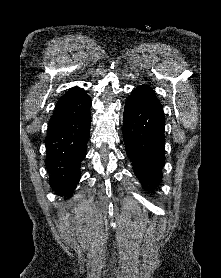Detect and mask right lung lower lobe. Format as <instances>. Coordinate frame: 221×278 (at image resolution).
<instances>
[{"label": "right lung lower lobe", "mask_w": 221, "mask_h": 278, "mask_svg": "<svg viewBox=\"0 0 221 278\" xmlns=\"http://www.w3.org/2000/svg\"><path fill=\"white\" fill-rule=\"evenodd\" d=\"M90 107L76 119L47 133L45 165L50 186L61 196H70L81 177L80 164L90 134Z\"/></svg>", "instance_id": "obj_1"}]
</instances>
